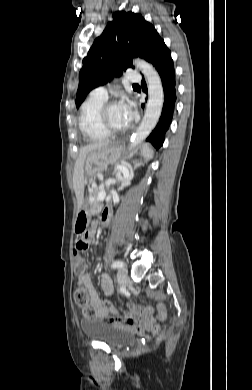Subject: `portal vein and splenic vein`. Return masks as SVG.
I'll use <instances>...</instances> for the list:
<instances>
[{
  "label": "portal vein and splenic vein",
  "mask_w": 252,
  "mask_h": 390,
  "mask_svg": "<svg viewBox=\"0 0 252 390\" xmlns=\"http://www.w3.org/2000/svg\"><path fill=\"white\" fill-rule=\"evenodd\" d=\"M117 169H118V172H122L123 175H127V173H128L127 168L124 167V166L119 165V166H117ZM112 182H114V181H113V180H110V181L108 182V185H109L110 183H112ZM103 187H104V185L100 186L101 189H102ZM105 196H106L105 191H104V190H101L100 193H99L98 200H103V199L105 198Z\"/></svg>",
  "instance_id": "portal-vein-and-splenic-vein-1"
}]
</instances>
